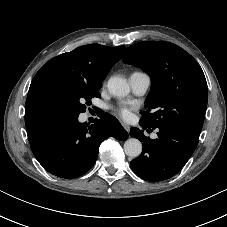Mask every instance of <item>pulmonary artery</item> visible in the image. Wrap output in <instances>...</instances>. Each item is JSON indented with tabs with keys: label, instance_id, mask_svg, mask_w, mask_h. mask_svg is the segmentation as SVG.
<instances>
[{
	"label": "pulmonary artery",
	"instance_id": "1",
	"mask_svg": "<svg viewBox=\"0 0 227 227\" xmlns=\"http://www.w3.org/2000/svg\"><path fill=\"white\" fill-rule=\"evenodd\" d=\"M129 82L136 95H143L150 86V77L144 72H133L130 75Z\"/></svg>",
	"mask_w": 227,
	"mask_h": 227
}]
</instances>
